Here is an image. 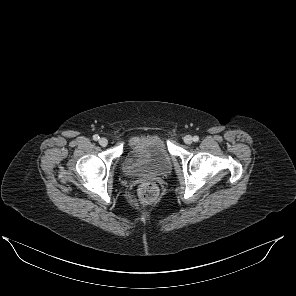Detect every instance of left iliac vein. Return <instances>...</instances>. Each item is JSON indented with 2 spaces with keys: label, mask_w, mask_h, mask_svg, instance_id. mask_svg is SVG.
Masks as SVG:
<instances>
[{
  "label": "left iliac vein",
  "mask_w": 296,
  "mask_h": 296,
  "mask_svg": "<svg viewBox=\"0 0 296 296\" xmlns=\"http://www.w3.org/2000/svg\"><path fill=\"white\" fill-rule=\"evenodd\" d=\"M184 142H185L186 144H191V143L193 142V138H192V136H190V135H186V136L184 137Z\"/></svg>",
  "instance_id": "4c4485c4"
}]
</instances>
